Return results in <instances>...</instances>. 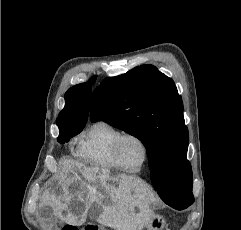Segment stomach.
Returning <instances> with one entry per match:
<instances>
[{
  "mask_svg": "<svg viewBox=\"0 0 241 230\" xmlns=\"http://www.w3.org/2000/svg\"><path fill=\"white\" fill-rule=\"evenodd\" d=\"M100 228L101 227H98V230H100ZM145 228L146 230H165L166 220L161 215H154L149 225H147Z\"/></svg>",
  "mask_w": 241,
  "mask_h": 230,
  "instance_id": "stomach-1",
  "label": "stomach"
}]
</instances>
